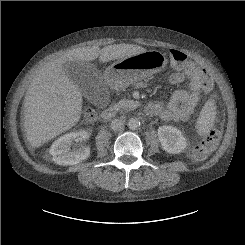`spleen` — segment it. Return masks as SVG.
<instances>
[{
	"label": "spleen",
	"instance_id": "obj_1",
	"mask_svg": "<svg viewBox=\"0 0 245 245\" xmlns=\"http://www.w3.org/2000/svg\"><path fill=\"white\" fill-rule=\"evenodd\" d=\"M216 115V106L213 100L206 102L196 122L197 131L200 135H206L213 126Z\"/></svg>",
	"mask_w": 245,
	"mask_h": 245
}]
</instances>
